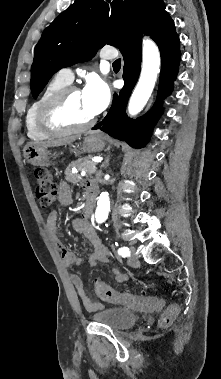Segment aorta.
I'll return each instance as SVG.
<instances>
[{
	"instance_id": "aorta-1",
	"label": "aorta",
	"mask_w": 221,
	"mask_h": 379,
	"mask_svg": "<svg viewBox=\"0 0 221 379\" xmlns=\"http://www.w3.org/2000/svg\"><path fill=\"white\" fill-rule=\"evenodd\" d=\"M143 60L139 81L130 97L128 112L138 114L146 105L154 89L160 71V53L157 45L150 39L143 40ZM110 211V200L107 192H102L97 202L95 218L98 223L106 221Z\"/></svg>"
}]
</instances>
